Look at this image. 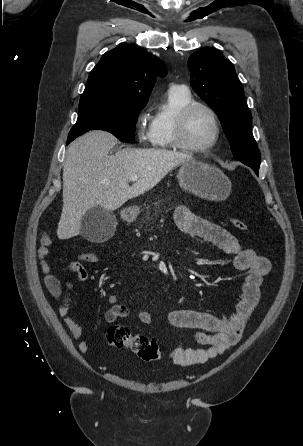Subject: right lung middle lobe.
Instances as JSON below:
<instances>
[{
    "label": "right lung middle lobe",
    "instance_id": "right-lung-middle-lobe-1",
    "mask_svg": "<svg viewBox=\"0 0 303 446\" xmlns=\"http://www.w3.org/2000/svg\"><path fill=\"white\" fill-rule=\"evenodd\" d=\"M144 106L121 104H86L79 105L76 124L69 132L67 144L89 130L111 132L119 140H134L137 116Z\"/></svg>",
    "mask_w": 303,
    "mask_h": 446
}]
</instances>
